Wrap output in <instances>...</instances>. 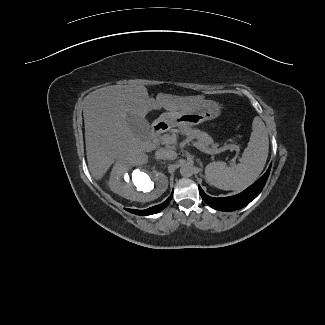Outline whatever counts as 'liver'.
Returning <instances> with one entry per match:
<instances>
[{"mask_svg": "<svg viewBox=\"0 0 325 325\" xmlns=\"http://www.w3.org/2000/svg\"><path fill=\"white\" fill-rule=\"evenodd\" d=\"M204 101L203 95L176 96L158 93L150 98L144 85H113L97 89L85 98L84 122L88 167L99 180L115 162L144 157L156 146L134 135L127 123L129 113L145 118L164 108L171 113L189 110ZM189 128L180 127L181 133Z\"/></svg>", "mask_w": 325, "mask_h": 325, "instance_id": "liver-1", "label": "liver"}]
</instances>
